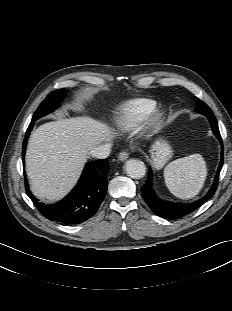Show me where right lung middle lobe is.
<instances>
[{
  "label": "right lung middle lobe",
  "mask_w": 232,
  "mask_h": 311,
  "mask_svg": "<svg viewBox=\"0 0 232 311\" xmlns=\"http://www.w3.org/2000/svg\"><path fill=\"white\" fill-rule=\"evenodd\" d=\"M66 95V89H59L51 93L38 107L32 121H36L40 117L50 113L56 109Z\"/></svg>",
  "instance_id": "dd1d6c3e"
}]
</instances>
